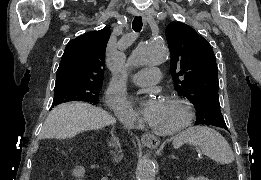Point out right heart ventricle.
<instances>
[{
    "label": "right heart ventricle",
    "instance_id": "e07e8e85",
    "mask_svg": "<svg viewBox=\"0 0 261 180\" xmlns=\"http://www.w3.org/2000/svg\"><path fill=\"white\" fill-rule=\"evenodd\" d=\"M128 114H129V118L132 119L133 117L132 114L130 112Z\"/></svg>",
    "mask_w": 261,
    "mask_h": 180
}]
</instances>
